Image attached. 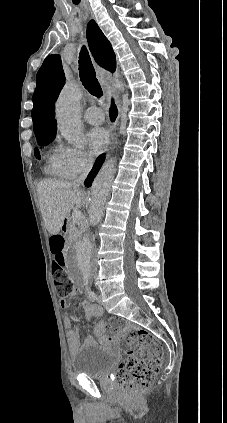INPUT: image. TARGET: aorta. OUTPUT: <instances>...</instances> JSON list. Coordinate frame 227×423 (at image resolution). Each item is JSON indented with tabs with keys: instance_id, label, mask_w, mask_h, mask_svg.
Wrapping results in <instances>:
<instances>
[{
	"instance_id": "obj_1",
	"label": "aorta",
	"mask_w": 227,
	"mask_h": 423,
	"mask_svg": "<svg viewBox=\"0 0 227 423\" xmlns=\"http://www.w3.org/2000/svg\"><path fill=\"white\" fill-rule=\"evenodd\" d=\"M81 91L73 83L62 89L56 102V118L61 135L69 143L81 144L82 122L80 117ZM116 173V159H109L97 174L91 188L89 223L97 225L104 212V206ZM65 266L69 278L76 284L87 286L97 270V254L90 235L73 243L65 255Z\"/></svg>"
}]
</instances>
